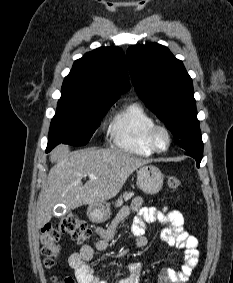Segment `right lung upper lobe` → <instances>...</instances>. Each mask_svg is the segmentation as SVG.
<instances>
[{"label":"right lung upper lobe","mask_w":233,"mask_h":283,"mask_svg":"<svg viewBox=\"0 0 233 283\" xmlns=\"http://www.w3.org/2000/svg\"><path fill=\"white\" fill-rule=\"evenodd\" d=\"M129 87L123 51L100 47L74 62L61 92L85 102L112 105Z\"/></svg>","instance_id":"cb5924a9"}]
</instances>
